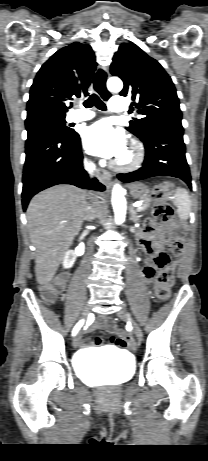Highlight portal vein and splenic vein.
<instances>
[{"instance_id":"1","label":"portal vein and splenic vein","mask_w":208,"mask_h":461,"mask_svg":"<svg viewBox=\"0 0 208 461\" xmlns=\"http://www.w3.org/2000/svg\"><path fill=\"white\" fill-rule=\"evenodd\" d=\"M142 204H143V201H138V202H135V203L133 204V206H134L135 208H137V210H139V208L142 206Z\"/></svg>"}]
</instances>
